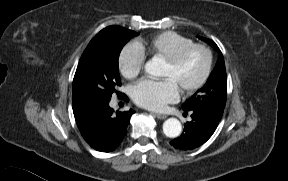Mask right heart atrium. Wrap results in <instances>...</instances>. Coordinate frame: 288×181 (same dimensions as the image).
<instances>
[{"label": "right heart atrium", "instance_id": "1", "mask_svg": "<svg viewBox=\"0 0 288 181\" xmlns=\"http://www.w3.org/2000/svg\"><path fill=\"white\" fill-rule=\"evenodd\" d=\"M145 55L136 44L130 43L118 55V69L127 79L137 77L143 69Z\"/></svg>", "mask_w": 288, "mask_h": 181}]
</instances>
